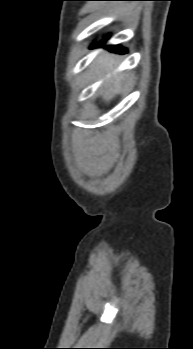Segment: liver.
<instances>
[{"instance_id": "6515ba94", "label": "liver", "mask_w": 193, "mask_h": 349, "mask_svg": "<svg viewBox=\"0 0 193 349\" xmlns=\"http://www.w3.org/2000/svg\"><path fill=\"white\" fill-rule=\"evenodd\" d=\"M117 64L118 62L111 54L104 52L94 61L92 68L96 70L103 69L105 72H109L113 70ZM124 77L125 74H119V76H115L108 81L110 85L106 84V90L101 91V98L103 101L109 102L118 94V89H115V87L121 83Z\"/></svg>"}]
</instances>
